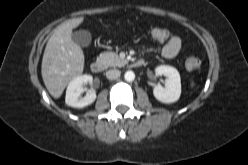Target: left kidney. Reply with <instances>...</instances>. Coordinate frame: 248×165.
Here are the masks:
<instances>
[{
	"instance_id": "left-kidney-1",
	"label": "left kidney",
	"mask_w": 248,
	"mask_h": 165,
	"mask_svg": "<svg viewBox=\"0 0 248 165\" xmlns=\"http://www.w3.org/2000/svg\"><path fill=\"white\" fill-rule=\"evenodd\" d=\"M157 75H164L166 77L165 87L156 85L153 89L154 97L162 103H174L181 94V80L180 74L176 68L161 65L155 69Z\"/></svg>"
}]
</instances>
